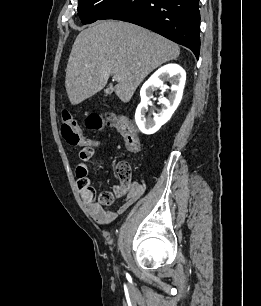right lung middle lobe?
I'll return each instance as SVG.
<instances>
[{
    "label": "right lung middle lobe",
    "mask_w": 261,
    "mask_h": 306,
    "mask_svg": "<svg viewBox=\"0 0 261 306\" xmlns=\"http://www.w3.org/2000/svg\"><path fill=\"white\" fill-rule=\"evenodd\" d=\"M118 0H79L78 16L83 24H90L113 6Z\"/></svg>",
    "instance_id": "obj_1"
}]
</instances>
